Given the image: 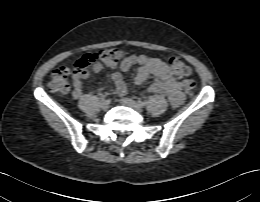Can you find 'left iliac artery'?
<instances>
[{
  "label": "left iliac artery",
  "mask_w": 260,
  "mask_h": 202,
  "mask_svg": "<svg viewBox=\"0 0 260 202\" xmlns=\"http://www.w3.org/2000/svg\"><path fill=\"white\" fill-rule=\"evenodd\" d=\"M138 105L141 106V107H144L146 105V102L145 101H142V100H138L137 101Z\"/></svg>",
  "instance_id": "1"
}]
</instances>
